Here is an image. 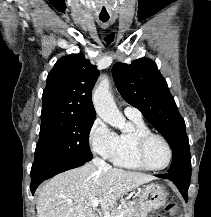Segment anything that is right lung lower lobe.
Listing matches in <instances>:
<instances>
[{"label":"right lung lower lobe","mask_w":211,"mask_h":217,"mask_svg":"<svg viewBox=\"0 0 211 217\" xmlns=\"http://www.w3.org/2000/svg\"><path fill=\"white\" fill-rule=\"evenodd\" d=\"M85 161H77L63 158H45L34 161L31 169V193L46 179H49L61 172L80 167Z\"/></svg>","instance_id":"right-lung-lower-lobe-1"}]
</instances>
